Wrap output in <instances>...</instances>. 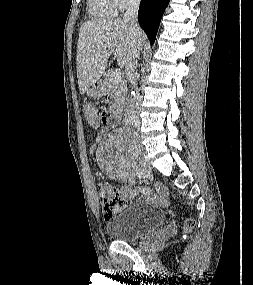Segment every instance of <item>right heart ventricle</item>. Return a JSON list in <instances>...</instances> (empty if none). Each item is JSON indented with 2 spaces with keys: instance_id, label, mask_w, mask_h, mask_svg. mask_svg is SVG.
<instances>
[{
  "instance_id": "right-heart-ventricle-1",
  "label": "right heart ventricle",
  "mask_w": 253,
  "mask_h": 285,
  "mask_svg": "<svg viewBox=\"0 0 253 285\" xmlns=\"http://www.w3.org/2000/svg\"><path fill=\"white\" fill-rule=\"evenodd\" d=\"M88 7L90 14L96 18H112L118 13L113 0H89Z\"/></svg>"
}]
</instances>
